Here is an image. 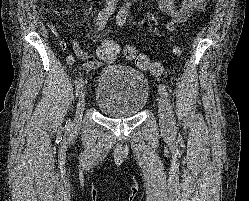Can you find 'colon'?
I'll use <instances>...</instances> for the list:
<instances>
[{
    "instance_id": "5ec220e1",
    "label": "colon",
    "mask_w": 249,
    "mask_h": 201,
    "mask_svg": "<svg viewBox=\"0 0 249 201\" xmlns=\"http://www.w3.org/2000/svg\"><path fill=\"white\" fill-rule=\"evenodd\" d=\"M174 56H180L183 53L181 45H174L171 49ZM119 54V48L113 42H104L98 49V56L101 60L112 63L116 61ZM125 56L127 59L133 61L135 65L153 75H160L162 66L159 63L153 62L147 55L138 52L134 47L128 46L125 49Z\"/></svg>"
}]
</instances>
